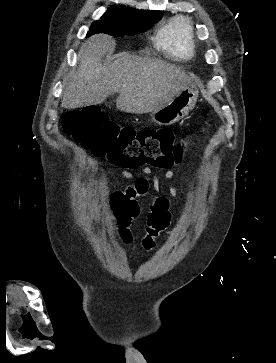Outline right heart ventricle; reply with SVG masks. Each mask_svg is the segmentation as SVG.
<instances>
[{"instance_id":"e07e8e85","label":"right heart ventricle","mask_w":276,"mask_h":363,"mask_svg":"<svg viewBox=\"0 0 276 363\" xmlns=\"http://www.w3.org/2000/svg\"><path fill=\"white\" fill-rule=\"evenodd\" d=\"M156 45L173 57L190 58L193 54V41L189 21L180 17L164 24L157 33Z\"/></svg>"}]
</instances>
